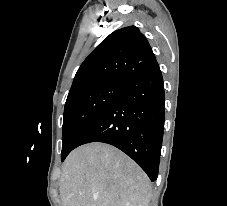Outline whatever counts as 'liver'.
Returning <instances> with one entry per match:
<instances>
[{
  "instance_id": "obj_1",
  "label": "liver",
  "mask_w": 227,
  "mask_h": 206,
  "mask_svg": "<svg viewBox=\"0 0 227 206\" xmlns=\"http://www.w3.org/2000/svg\"><path fill=\"white\" fill-rule=\"evenodd\" d=\"M62 206H148L151 183L117 148L89 143L66 158L60 178Z\"/></svg>"
}]
</instances>
